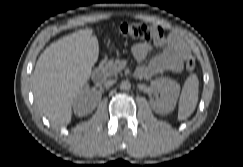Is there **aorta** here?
Returning <instances> with one entry per match:
<instances>
[{"label":"aorta","mask_w":243,"mask_h":167,"mask_svg":"<svg viewBox=\"0 0 243 167\" xmlns=\"http://www.w3.org/2000/svg\"><path fill=\"white\" fill-rule=\"evenodd\" d=\"M130 88H131V83L129 81L126 80V81H122L120 83V89L121 90L127 91V90H130Z\"/></svg>","instance_id":"1"}]
</instances>
